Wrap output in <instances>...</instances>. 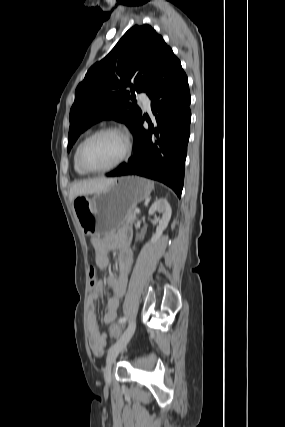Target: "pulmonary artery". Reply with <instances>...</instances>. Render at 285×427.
Returning <instances> with one entry per match:
<instances>
[{
	"instance_id": "pulmonary-artery-1",
	"label": "pulmonary artery",
	"mask_w": 285,
	"mask_h": 427,
	"mask_svg": "<svg viewBox=\"0 0 285 427\" xmlns=\"http://www.w3.org/2000/svg\"><path fill=\"white\" fill-rule=\"evenodd\" d=\"M139 102L144 107V109L148 110L150 108V99L146 93L141 92L139 94Z\"/></svg>"
}]
</instances>
